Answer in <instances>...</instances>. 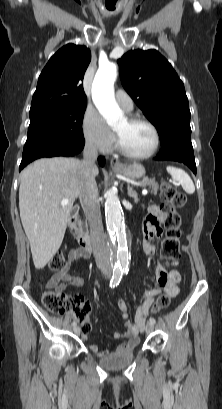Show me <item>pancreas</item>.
Listing matches in <instances>:
<instances>
[{
    "label": "pancreas",
    "mask_w": 222,
    "mask_h": 409,
    "mask_svg": "<svg viewBox=\"0 0 222 409\" xmlns=\"http://www.w3.org/2000/svg\"><path fill=\"white\" fill-rule=\"evenodd\" d=\"M141 185L143 187L149 186L151 188V193H153L154 195L157 194L158 191V184L155 182L154 179H148V178H144L141 181Z\"/></svg>",
    "instance_id": "obj_1"
}]
</instances>
